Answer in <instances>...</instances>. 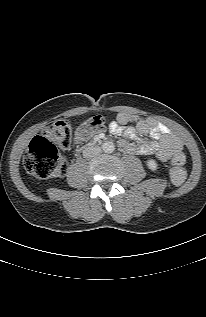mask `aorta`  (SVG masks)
<instances>
[{"label": "aorta", "instance_id": "762f6f07", "mask_svg": "<svg viewBox=\"0 0 206 317\" xmlns=\"http://www.w3.org/2000/svg\"><path fill=\"white\" fill-rule=\"evenodd\" d=\"M102 150L105 153H112L115 150V145L113 142L107 141V142L102 144Z\"/></svg>", "mask_w": 206, "mask_h": 317}]
</instances>
